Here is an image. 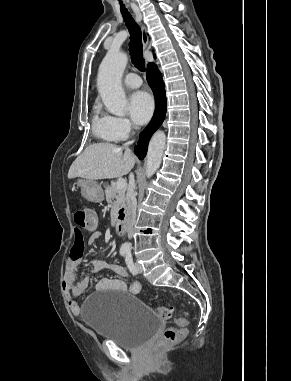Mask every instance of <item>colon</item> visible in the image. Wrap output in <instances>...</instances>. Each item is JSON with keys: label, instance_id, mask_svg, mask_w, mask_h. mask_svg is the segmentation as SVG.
Masks as SVG:
<instances>
[{"label": "colon", "instance_id": "5ec220e1", "mask_svg": "<svg viewBox=\"0 0 291 381\" xmlns=\"http://www.w3.org/2000/svg\"><path fill=\"white\" fill-rule=\"evenodd\" d=\"M73 218L76 225L79 227V235L82 237L81 230H93L97 226V218L95 213L88 208H76L73 211ZM158 315L161 319L167 320L172 316V309L166 306L157 307ZM188 320L186 316L178 317L175 320V326L167 328L162 339L155 346V350L177 344L183 338Z\"/></svg>", "mask_w": 291, "mask_h": 381}]
</instances>
